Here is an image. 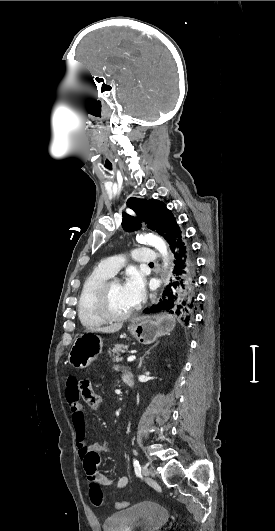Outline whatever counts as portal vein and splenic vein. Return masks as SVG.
<instances>
[{
    "label": "portal vein and splenic vein",
    "instance_id": "1",
    "mask_svg": "<svg viewBox=\"0 0 275 531\" xmlns=\"http://www.w3.org/2000/svg\"><path fill=\"white\" fill-rule=\"evenodd\" d=\"M134 359H136V357H133V355H132V357H128L127 361H129V363H131V361H134Z\"/></svg>",
    "mask_w": 275,
    "mask_h": 531
}]
</instances>
